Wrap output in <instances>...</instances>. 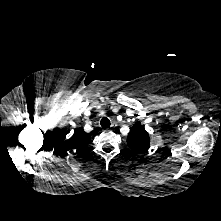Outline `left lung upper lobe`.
<instances>
[{
  "label": "left lung upper lobe",
  "mask_w": 221,
  "mask_h": 221,
  "mask_svg": "<svg viewBox=\"0 0 221 221\" xmlns=\"http://www.w3.org/2000/svg\"><path fill=\"white\" fill-rule=\"evenodd\" d=\"M127 143L134 153H142L149 149L150 137L140 122H136L131 128Z\"/></svg>",
  "instance_id": "1"
}]
</instances>
